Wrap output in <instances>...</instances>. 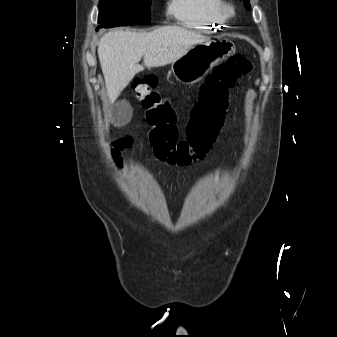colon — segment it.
Segmentation results:
<instances>
[{
  "label": "colon",
  "mask_w": 337,
  "mask_h": 337,
  "mask_svg": "<svg viewBox=\"0 0 337 337\" xmlns=\"http://www.w3.org/2000/svg\"><path fill=\"white\" fill-rule=\"evenodd\" d=\"M251 69L252 63L241 55L230 57L213 69L201 85L184 139L179 138L173 109L156 90L157 80L151 76L136 78L131 91L145 110L155 157L171 165H185L203 158L223 125L228 89Z\"/></svg>",
  "instance_id": "obj_1"
}]
</instances>
